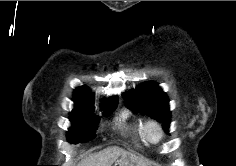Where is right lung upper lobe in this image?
<instances>
[{
	"label": "right lung upper lobe",
	"mask_w": 236,
	"mask_h": 166,
	"mask_svg": "<svg viewBox=\"0 0 236 166\" xmlns=\"http://www.w3.org/2000/svg\"><path fill=\"white\" fill-rule=\"evenodd\" d=\"M94 97L91 91L86 86H81L75 90L74 102L77 108L92 110ZM118 104V96H114L102 101V110Z\"/></svg>",
	"instance_id": "cb5924a9"
}]
</instances>
